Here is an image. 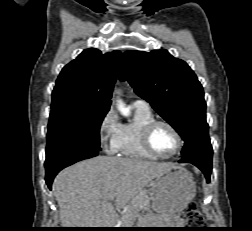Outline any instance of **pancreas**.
<instances>
[{"mask_svg":"<svg viewBox=\"0 0 252 231\" xmlns=\"http://www.w3.org/2000/svg\"><path fill=\"white\" fill-rule=\"evenodd\" d=\"M149 202H150L149 194L146 190H143L134 198L132 204L139 207H147L149 206ZM121 220L122 224L125 225L128 223L129 218L126 215H124L121 218Z\"/></svg>","mask_w":252,"mask_h":231,"instance_id":"1","label":"pancreas"}]
</instances>
